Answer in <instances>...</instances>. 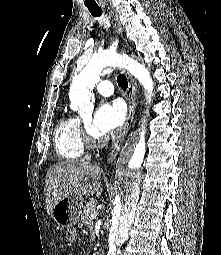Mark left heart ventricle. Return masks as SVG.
Returning a JSON list of instances; mask_svg holds the SVG:
<instances>
[{
  "mask_svg": "<svg viewBox=\"0 0 221 255\" xmlns=\"http://www.w3.org/2000/svg\"><path fill=\"white\" fill-rule=\"evenodd\" d=\"M88 126H89V128H90V130L92 131L93 134H95V135H97V136H100V135H98V134L94 131L93 126L91 125L90 120L88 121Z\"/></svg>",
  "mask_w": 221,
  "mask_h": 255,
  "instance_id": "left-heart-ventricle-1",
  "label": "left heart ventricle"
}]
</instances>
